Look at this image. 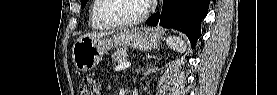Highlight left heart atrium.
Masks as SVG:
<instances>
[{"mask_svg": "<svg viewBox=\"0 0 277 95\" xmlns=\"http://www.w3.org/2000/svg\"><path fill=\"white\" fill-rule=\"evenodd\" d=\"M150 2H154V0H150Z\"/></svg>", "mask_w": 277, "mask_h": 95, "instance_id": "left-heart-atrium-1", "label": "left heart atrium"}]
</instances>
